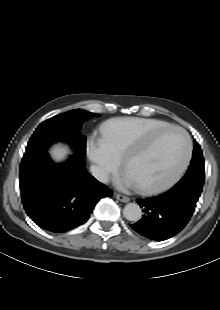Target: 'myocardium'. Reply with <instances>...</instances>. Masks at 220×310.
I'll return each mask as SVG.
<instances>
[{"label": "myocardium", "mask_w": 220, "mask_h": 310, "mask_svg": "<svg viewBox=\"0 0 220 310\" xmlns=\"http://www.w3.org/2000/svg\"><path fill=\"white\" fill-rule=\"evenodd\" d=\"M189 150H190V143H189V141H188V142H187V147H186V149H185V154H184L182 163H181L180 167L178 168V170H177V172L175 173L174 176H176V175L183 169V167L185 166V164L187 163V160H188V157H189ZM170 181H171V180H170ZM170 181L165 182L164 184L161 185V187L168 185V184L170 183Z\"/></svg>", "instance_id": "obj_1"}]
</instances>
